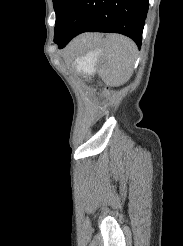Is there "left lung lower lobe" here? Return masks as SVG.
Segmentation results:
<instances>
[{
    "instance_id": "1",
    "label": "left lung lower lobe",
    "mask_w": 183,
    "mask_h": 246,
    "mask_svg": "<svg viewBox=\"0 0 183 246\" xmlns=\"http://www.w3.org/2000/svg\"><path fill=\"white\" fill-rule=\"evenodd\" d=\"M149 0H76L54 42L63 48L83 32H112L141 46Z\"/></svg>"
}]
</instances>
